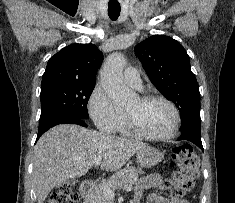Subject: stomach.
<instances>
[{
    "label": "stomach",
    "instance_id": "obj_1",
    "mask_svg": "<svg viewBox=\"0 0 235 203\" xmlns=\"http://www.w3.org/2000/svg\"><path fill=\"white\" fill-rule=\"evenodd\" d=\"M137 162L143 167H152L161 162L163 154L156 148L145 146L136 152Z\"/></svg>",
    "mask_w": 235,
    "mask_h": 203
}]
</instances>
